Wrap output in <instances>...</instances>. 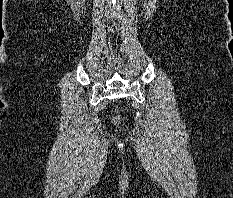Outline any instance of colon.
<instances>
[{
    "instance_id": "5ec220e1",
    "label": "colon",
    "mask_w": 233,
    "mask_h": 198,
    "mask_svg": "<svg viewBox=\"0 0 233 198\" xmlns=\"http://www.w3.org/2000/svg\"><path fill=\"white\" fill-rule=\"evenodd\" d=\"M120 115H116L115 117H114V122L116 123V124H119L120 123Z\"/></svg>"
}]
</instances>
